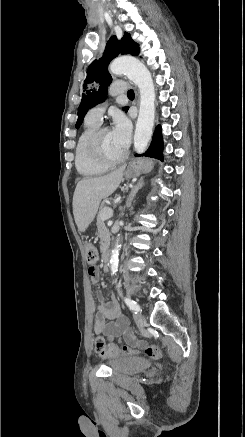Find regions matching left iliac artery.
I'll use <instances>...</instances> for the list:
<instances>
[{"instance_id":"1","label":"left iliac artery","mask_w":245,"mask_h":437,"mask_svg":"<svg viewBox=\"0 0 245 437\" xmlns=\"http://www.w3.org/2000/svg\"><path fill=\"white\" fill-rule=\"evenodd\" d=\"M117 288H118L119 295L122 297L120 286L118 285ZM124 302L129 307L130 310L135 312V314L141 311L140 306L134 300H131L128 297H124Z\"/></svg>"}]
</instances>
